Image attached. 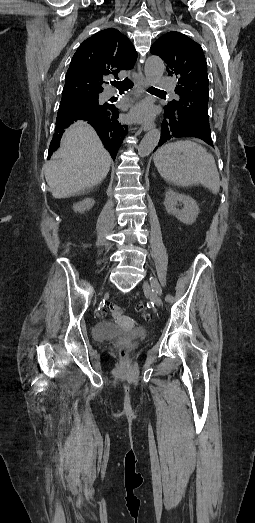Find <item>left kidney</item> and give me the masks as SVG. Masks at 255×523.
Returning <instances> with one entry per match:
<instances>
[{
    "mask_svg": "<svg viewBox=\"0 0 255 523\" xmlns=\"http://www.w3.org/2000/svg\"><path fill=\"white\" fill-rule=\"evenodd\" d=\"M177 202L184 204L182 210H177ZM164 206L168 214H174L183 224H193L200 212L199 206L193 198L178 194L175 190H166Z\"/></svg>",
    "mask_w": 255,
    "mask_h": 523,
    "instance_id": "obj_1",
    "label": "left kidney"
}]
</instances>
